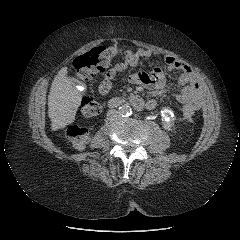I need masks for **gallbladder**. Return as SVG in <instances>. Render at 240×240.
<instances>
[{"label": "gallbladder", "instance_id": "obj_1", "mask_svg": "<svg viewBox=\"0 0 240 240\" xmlns=\"http://www.w3.org/2000/svg\"><path fill=\"white\" fill-rule=\"evenodd\" d=\"M75 84H78V80L72 78Z\"/></svg>", "mask_w": 240, "mask_h": 240}]
</instances>
